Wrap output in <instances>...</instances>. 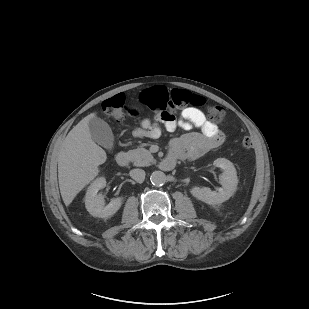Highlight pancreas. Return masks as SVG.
<instances>
[{"label": "pancreas", "mask_w": 309, "mask_h": 309, "mask_svg": "<svg viewBox=\"0 0 309 309\" xmlns=\"http://www.w3.org/2000/svg\"><path fill=\"white\" fill-rule=\"evenodd\" d=\"M128 155L135 166H149L154 162V158L150 151L142 147L129 150Z\"/></svg>", "instance_id": "obj_1"}]
</instances>
